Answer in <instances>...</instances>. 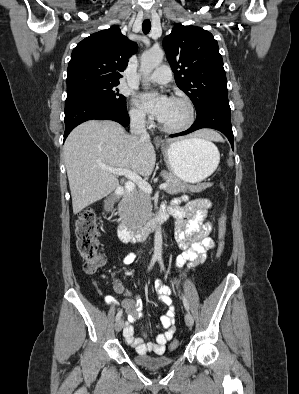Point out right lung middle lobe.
<instances>
[{"instance_id": "obj_1", "label": "right lung middle lobe", "mask_w": 299, "mask_h": 394, "mask_svg": "<svg viewBox=\"0 0 299 394\" xmlns=\"http://www.w3.org/2000/svg\"><path fill=\"white\" fill-rule=\"evenodd\" d=\"M119 82H92L67 88V98L91 96L104 99L117 108L126 107V97L115 88Z\"/></svg>"}]
</instances>
